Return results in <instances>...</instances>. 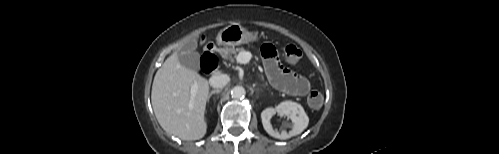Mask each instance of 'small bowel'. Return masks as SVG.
<instances>
[{"label":"small bowel","instance_id":"c3829d8e","mask_svg":"<svg viewBox=\"0 0 499 154\" xmlns=\"http://www.w3.org/2000/svg\"><path fill=\"white\" fill-rule=\"evenodd\" d=\"M264 67L271 84L290 95L304 96L310 89V82L305 77L284 68L277 58L276 49L271 44L262 47Z\"/></svg>","mask_w":499,"mask_h":154}]
</instances>
